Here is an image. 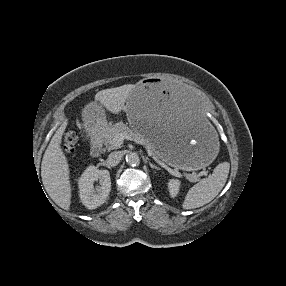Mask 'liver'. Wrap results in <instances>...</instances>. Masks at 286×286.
<instances>
[{
    "instance_id": "1",
    "label": "liver",
    "mask_w": 286,
    "mask_h": 286,
    "mask_svg": "<svg viewBox=\"0 0 286 286\" xmlns=\"http://www.w3.org/2000/svg\"><path fill=\"white\" fill-rule=\"evenodd\" d=\"M135 85L127 84L99 91L95 101L113 114H119L125 107L129 94ZM64 122L52 137L42 159L41 178L50 198L61 208L68 210L71 204L70 170L67 158L61 148L66 129Z\"/></svg>"
}]
</instances>
